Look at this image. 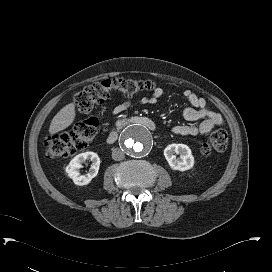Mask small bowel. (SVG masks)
<instances>
[{
    "label": "small bowel",
    "instance_id": "c3829d8e",
    "mask_svg": "<svg viewBox=\"0 0 272 272\" xmlns=\"http://www.w3.org/2000/svg\"><path fill=\"white\" fill-rule=\"evenodd\" d=\"M163 91L156 89L149 97L141 99L142 104H156L160 99ZM185 98L190 106L185 107L182 111L183 118L188 121L189 125H179L173 128V132L177 135H195L204 134L214 128L224 125V120L219 113L214 112L207 105L204 98L199 97L191 90L184 92ZM131 107L130 101L120 103L114 110L115 113L123 112Z\"/></svg>",
    "mask_w": 272,
    "mask_h": 272
}]
</instances>
